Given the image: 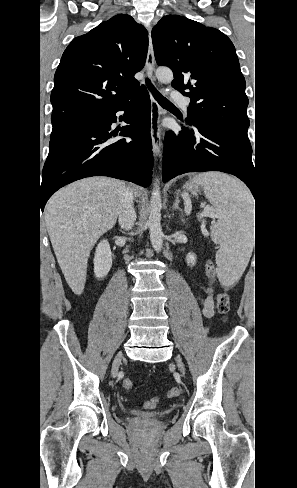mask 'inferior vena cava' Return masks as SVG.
Masks as SVG:
<instances>
[{
    "mask_svg": "<svg viewBox=\"0 0 297 488\" xmlns=\"http://www.w3.org/2000/svg\"><path fill=\"white\" fill-rule=\"evenodd\" d=\"M133 194L132 191L126 189L122 200L121 207L119 211V225L125 230H129L133 227L136 220V212L133 205Z\"/></svg>",
    "mask_w": 297,
    "mask_h": 488,
    "instance_id": "inferior-vena-cava-1",
    "label": "inferior vena cava"
}]
</instances>
